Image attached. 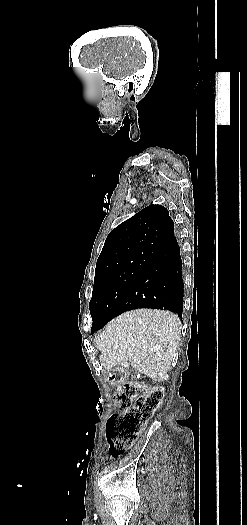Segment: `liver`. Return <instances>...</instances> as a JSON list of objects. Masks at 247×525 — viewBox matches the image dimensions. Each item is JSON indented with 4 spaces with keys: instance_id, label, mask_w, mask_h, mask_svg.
Listing matches in <instances>:
<instances>
[{
    "instance_id": "6515ba94",
    "label": "liver",
    "mask_w": 247,
    "mask_h": 525,
    "mask_svg": "<svg viewBox=\"0 0 247 525\" xmlns=\"http://www.w3.org/2000/svg\"><path fill=\"white\" fill-rule=\"evenodd\" d=\"M181 321L171 311L134 309L107 323L95 339L107 371L130 361L135 371L162 383L177 361Z\"/></svg>"
}]
</instances>
